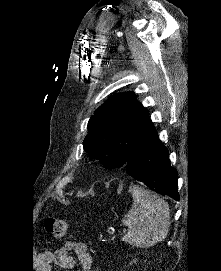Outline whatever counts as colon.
I'll use <instances>...</instances> for the list:
<instances>
[{"label": "colon", "instance_id": "colon-1", "mask_svg": "<svg viewBox=\"0 0 221 271\" xmlns=\"http://www.w3.org/2000/svg\"><path fill=\"white\" fill-rule=\"evenodd\" d=\"M46 230L55 240H62L65 237L66 223L63 219L48 217L46 220Z\"/></svg>", "mask_w": 221, "mask_h": 271}]
</instances>
